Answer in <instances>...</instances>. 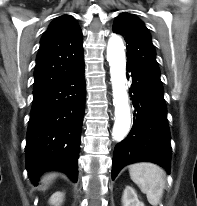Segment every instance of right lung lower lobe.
<instances>
[{"label":"right lung lower lobe","mask_w":197,"mask_h":206,"mask_svg":"<svg viewBox=\"0 0 197 206\" xmlns=\"http://www.w3.org/2000/svg\"><path fill=\"white\" fill-rule=\"evenodd\" d=\"M84 62L52 87L34 94L26 143V168L36 185L42 172L60 170L77 181L85 108Z\"/></svg>","instance_id":"1"}]
</instances>
